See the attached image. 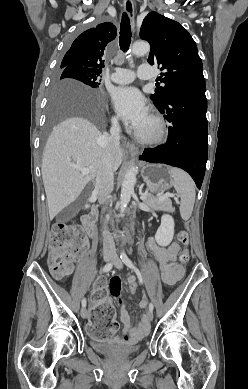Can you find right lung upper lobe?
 <instances>
[{"mask_svg": "<svg viewBox=\"0 0 248 389\" xmlns=\"http://www.w3.org/2000/svg\"><path fill=\"white\" fill-rule=\"evenodd\" d=\"M116 27L102 23L79 35L65 54L61 65H70L102 73L105 47L115 39Z\"/></svg>", "mask_w": 248, "mask_h": 389, "instance_id": "obj_1", "label": "right lung upper lobe"}]
</instances>
